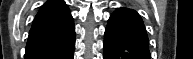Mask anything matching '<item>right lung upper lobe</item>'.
Here are the masks:
<instances>
[{
    "label": "right lung upper lobe",
    "instance_id": "right-lung-upper-lobe-1",
    "mask_svg": "<svg viewBox=\"0 0 193 59\" xmlns=\"http://www.w3.org/2000/svg\"><path fill=\"white\" fill-rule=\"evenodd\" d=\"M73 18L62 0H49L39 10L26 48L51 45L74 31Z\"/></svg>",
    "mask_w": 193,
    "mask_h": 59
}]
</instances>
